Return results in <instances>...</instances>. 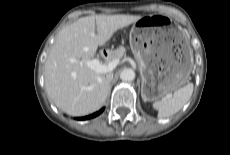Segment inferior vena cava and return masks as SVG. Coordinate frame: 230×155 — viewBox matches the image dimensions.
<instances>
[{
	"label": "inferior vena cava",
	"mask_w": 230,
	"mask_h": 155,
	"mask_svg": "<svg viewBox=\"0 0 230 155\" xmlns=\"http://www.w3.org/2000/svg\"><path fill=\"white\" fill-rule=\"evenodd\" d=\"M112 78H113V74H112V73H108V74L106 75V80H107L108 82H110V81L112 80Z\"/></svg>",
	"instance_id": "602c4592"
}]
</instances>
